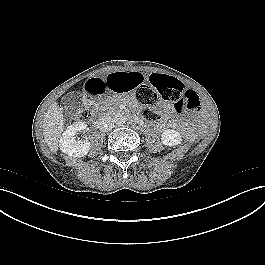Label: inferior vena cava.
Listing matches in <instances>:
<instances>
[{"instance_id":"obj_1","label":"inferior vena cava","mask_w":265,"mask_h":265,"mask_svg":"<svg viewBox=\"0 0 265 265\" xmlns=\"http://www.w3.org/2000/svg\"><path fill=\"white\" fill-rule=\"evenodd\" d=\"M98 128L102 132L111 131L114 128V120L111 116L105 115L98 120Z\"/></svg>"}]
</instances>
